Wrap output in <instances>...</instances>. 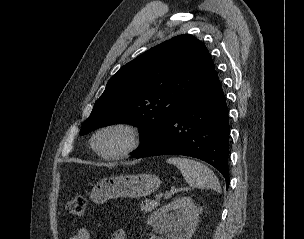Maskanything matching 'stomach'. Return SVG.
I'll use <instances>...</instances> for the list:
<instances>
[{
	"label": "stomach",
	"mask_w": 304,
	"mask_h": 239,
	"mask_svg": "<svg viewBox=\"0 0 304 239\" xmlns=\"http://www.w3.org/2000/svg\"><path fill=\"white\" fill-rule=\"evenodd\" d=\"M154 174L112 176L100 180L92 189L90 198L100 204L115 197L139 198L150 195L160 186Z\"/></svg>",
	"instance_id": "0dacf381"
}]
</instances>
